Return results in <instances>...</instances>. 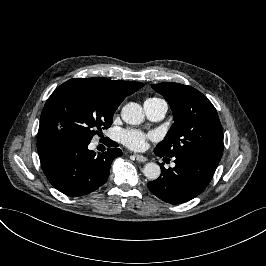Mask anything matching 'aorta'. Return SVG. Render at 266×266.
<instances>
[{"mask_svg":"<svg viewBox=\"0 0 266 266\" xmlns=\"http://www.w3.org/2000/svg\"><path fill=\"white\" fill-rule=\"evenodd\" d=\"M123 120L131 125H138L145 119V113L141 105L136 102H130L125 105L121 112ZM161 173L160 166L155 162L145 164L143 174L150 180H156Z\"/></svg>","mask_w":266,"mask_h":266,"instance_id":"aorta-1","label":"aorta"}]
</instances>
